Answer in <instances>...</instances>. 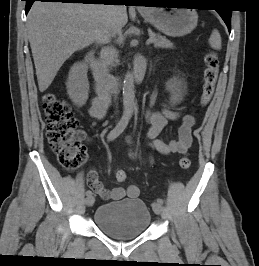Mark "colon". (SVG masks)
<instances>
[{
	"label": "colon",
	"instance_id": "5ec220e1",
	"mask_svg": "<svg viewBox=\"0 0 259 266\" xmlns=\"http://www.w3.org/2000/svg\"><path fill=\"white\" fill-rule=\"evenodd\" d=\"M204 62L201 106H206L210 102L219 73V59L214 51H207ZM42 106L46 137L59 164L69 171L77 169L86 160V149L83 144L85 133L78 128V120L73 115L70 105L53 93H46ZM190 165L191 160L187 155L180 158L179 166L182 169H188ZM115 177L118 182H124L127 174L124 170H118Z\"/></svg>",
	"mask_w": 259,
	"mask_h": 266
}]
</instances>
